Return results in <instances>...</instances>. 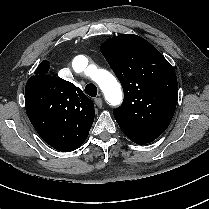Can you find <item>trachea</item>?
I'll list each match as a JSON object with an SVG mask.
<instances>
[{"mask_svg":"<svg viewBox=\"0 0 209 209\" xmlns=\"http://www.w3.org/2000/svg\"><path fill=\"white\" fill-rule=\"evenodd\" d=\"M85 93L91 97H96L97 87L94 84H88L85 87Z\"/></svg>","mask_w":209,"mask_h":209,"instance_id":"obj_1","label":"trachea"}]
</instances>
